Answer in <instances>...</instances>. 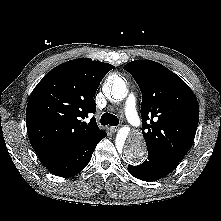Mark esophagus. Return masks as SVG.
I'll use <instances>...</instances> for the list:
<instances>
[{"mask_svg":"<svg viewBox=\"0 0 221 221\" xmlns=\"http://www.w3.org/2000/svg\"><path fill=\"white\" fill-rule=\"evenodd\" d=\"M118 129H119V127H117V126L111 127V131L113 133H115Z\"/></svg>","mask_w":221,"mask_h":221,"instance_id":"1","label":"esophagus"}]
</instances>
